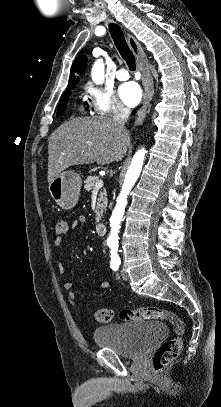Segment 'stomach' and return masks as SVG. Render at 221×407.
<instances>
[{
	"label": "stomach",
	"mask_w": 221,
	"mask_h": 407,
	"mask_svg": "<svg viewBox=\"0 0 221 407\" xmlns=\"http://www.w3.org/2000/svg\"><path fill=\"white\" fill-rule=\"evenodd\" d=\"M82 180L73 171L61 172L49 184V192L53 200L64 210H70L78 202Z\"/></svg>",
	"instance_id": "1"
}]
</instances>
